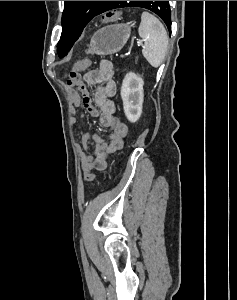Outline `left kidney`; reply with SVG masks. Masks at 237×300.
<instances>
[{
  "label": "left kidney",
  "instance_id": "left-kidney-1",
  "mask_svg": "<svg viewBox=\"0 0 237 300\" xmlns=\"http://www.w3.org/2000/svg\"><path fill=\"white\" fill-rule=\"evenodd\" d=\"M143 85V79L135 73H127L123 79L120 95L125 117L130 123H136L141 117L144 97Z\"/></svg>",
  "mask_w": 237,
  "mask_h": 300
}]
</instances>
